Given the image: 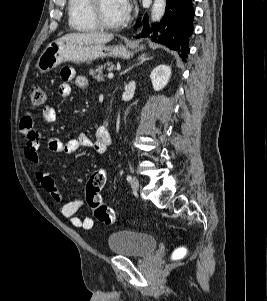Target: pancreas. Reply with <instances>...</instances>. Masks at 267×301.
I'll return each instance as SVG.
<instances>
[{
	"mask_svg": "<svg viewBox=\"0 0 267 301\" xmlns=\"http://www.w3.org/2000/svg\"><path fill=\"white\" fill-rule=\"evenodd\" d=\"M114 68H115V66L111 62H107L104 65H98V66H96V68L90 69L89 73L93 76V78L97 79V81H102L103 80V71L105 69L112 70Z\"/></svg>",
	"mask_w": 267,
	"mask_h": 301,
	"instance_id": "cf45deb5",
	"label": "pancreas"
}]
</instances>
